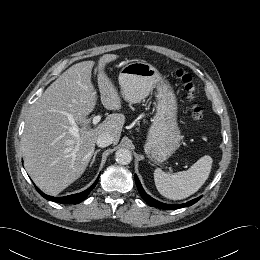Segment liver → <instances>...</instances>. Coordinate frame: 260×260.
<instances>
[{
  "label": "liver",
  "mask_w": 260,
  "mask_h": 260,
  "mask_svg": "<svg viewBox=\"0 0 260 260\" xmlns=\"http://www.w3.org/2000/svg\"><path fill=\"white\" fill-rule=\"evenodd\" d=\"M117 58L115 54H105L98 61L100 99L107 110L122 107L115 86L104 72L106 64ZM94 63L72 65L28 113L21 138L24 165L33 182L47 194H59L84 173L99 135L110 134L115 144L120 139L123 114H110L96 128L90 127L88 115L98 98L91 81ZM73 124L78 127V136L70 132Z\"/></svg>",
  "instance_id": "obj_1"
}]
</instances>
